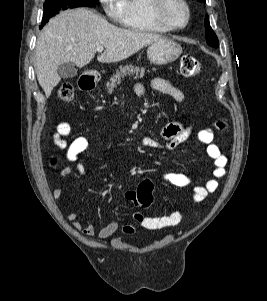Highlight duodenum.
Here are the masks:
<instances>
[{
	"label": "duodenum",
	"mask_w": 267,
	"mask_h": 301,
	"mask_svg": "<svg viewBox=\"0 0 267 301\" xmlns=\"http://www.w3.org/2000/svg\"><path fill=\"white\" fill-rule=\"evenodd\" d=\"M97 83L98 78L93 74H84L80 79V87L84 90H92Z\"/></svg>",
	"instance_id": "1"
}]
</instances>
